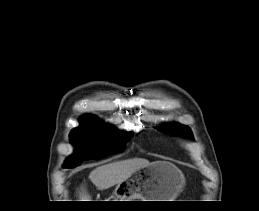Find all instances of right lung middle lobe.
I'll use <instances>...</instances> for the list:
<instances>
[{"label": "right lung middle lobe", "instance_id": "dd1d6c3e", "mask_svg": "<svg viewBox=\"0 0 259 211\" xmlns=\"http://www.w3.org/2000/svg\"><path fill=\"white\" fill-rule=\"evenodd\" d=\"M81 125L71 134V142L77 147V152L68 158L65 168H73L82 160L98 159L118 153L125 149V143L133 134L120 133L110 126L102 124L93 118H81Z\"/></svg>", "mask_w": 259, "mask_h": 211}]
</instances>
